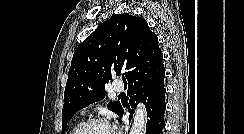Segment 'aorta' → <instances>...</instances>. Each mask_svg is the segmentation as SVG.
Wrapping results in <instances>:
<instances>
[{
  "label": "aorta",
  "instance_id": "aorta-1",
  "mask_svg": "<svg viewBox=\"0 0 244 134\" xmlns=\"http://www.w3.org/2000/svg\"><path fill=\"white\" fill-rule=\"evenodd\" d=\"M147 122V112L143 104H139L134 113L130 134H144Z\"/></svg>",
  "mask_w": 244,
  "mask_h": 134
}]
</instances>
